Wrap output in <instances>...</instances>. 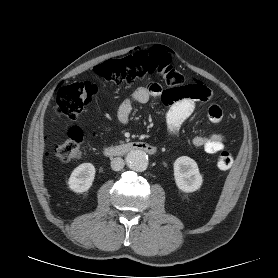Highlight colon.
<instances>
[{"mask_svg":"<svg viewBox=\"0 0 278 278\" xmlns=\"http://www.w3.org/2000/svg\"><path fill=\"white\" fill-rule=\"evenodd\" d=\"M96 75L104 82L132 86L149 77L158 76L172 87L170 98H201L203 91L200 84H186L185 76L171 65L170 56L161 47H152L138 51L120 59H110L95 67ZM98 86L94 82L82 81L64 85L58 89L55 110L59 115L70 120H77L96 94ZM83 132L79 127H72L68 138L55 147L59 160L70 162L81 154ZM233 164L231 154L221 150L217 156V166L222 170Z\"/></svg>","mask_w":278,"mask_h":278,"instance_id":"obj_1","label":"colon"}]
</instances>
